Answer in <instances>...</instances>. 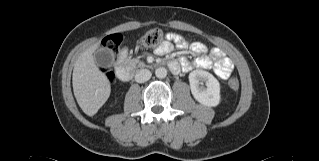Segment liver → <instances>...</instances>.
I'll list each match as a JSON object with an SVG mask.
<instances>
[{
	"mask_svg": "<svg viewBox=\"0 0 319 161\" xmlns=\"http://www.w3.org/2000/svg\"><path fill=\"white\" fill-rule=\"evenodd\" d=\"M100 43L86 49L77 59L73 69L72 84L75 98L82 111L93 116L110 96L111 86L107 76L95 64L93 53Z\"/></svg>",
	"mask_w": 319,
	"mask_h": 161,
	"instance_id": "liver-1",
	"label": "liver"
}]
</instances>
